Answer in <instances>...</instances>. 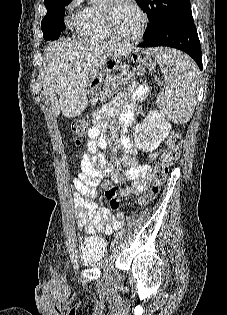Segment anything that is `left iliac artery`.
<instances>
[{
    "instance_id": "44dca946",
    "label": "left iliac artery",
    "mask_w": 227,
    "mask_h": 315,
    "mask_svg": "<svg viewBox=\"0 0 227 315\" xmlns=\"http://www.w3.org/2000/svg\"><path fill=\"white\" fill-rule=\"evenodd\" d=\"M121 237H122V232L116 233V235H115V238H116V239H119V238H121Z\"/></svg>"
}]
</instances>
